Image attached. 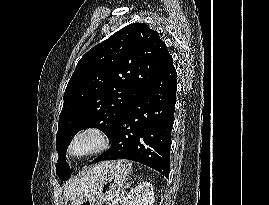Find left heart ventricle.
<instances>
[{
  "label": "left heart ventricle",
  "instance_id": "obj_1",
  "mask_svg": "<svg viewBox=\"0 0 269 205\" xmlns=\"http://www.w3.org/2000/svg\"><path fill=\"white\" fill-rule=\"evenodd\" d=\"M97 139L93 135H84L76 140L72 151L75 155H82L97 146Z\"/></svg>",
  "mask_w": 269,
  "mask_h": 205
}]
</instances>
